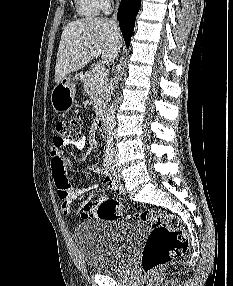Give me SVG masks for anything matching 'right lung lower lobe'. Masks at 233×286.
Returning <instances> with one entry per match:
<instances>
[{"mask_svg": "<svg viewBox=\"0 0 233 286\" xmlns=\"http://www.w3.org/2000/svg\"><path fill=\"white\" fill-rule=\"evenodd\" d=\"M140 5L141 0H121L119 5L117 19L127 47L130 45Z\"/></svg>", "mask_w": 233, "mask_h": 286, "instance_id": "1", "label": "right lung lower lobe"}]
</instances>
